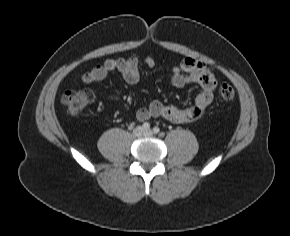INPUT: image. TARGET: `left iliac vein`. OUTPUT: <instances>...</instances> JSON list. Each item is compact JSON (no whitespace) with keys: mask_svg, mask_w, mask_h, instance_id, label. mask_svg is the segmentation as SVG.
Listing matches in <instances>:
<instances>
[{"mask_svg":"<svg viewBox=\"0 0 290 236\" xmlns=\"http://www.w3.org/2000/svg\"><path fill=\"white\" fill-rule=\"evenodd\" d=\"M145 134L151 136L153 134V131L152 130H147V131H145Z\"/></svg>","mask_w":290,"mask_h":236,"instance_id":"4c4485c4","label":"left iliac vein"}]
</instances>
